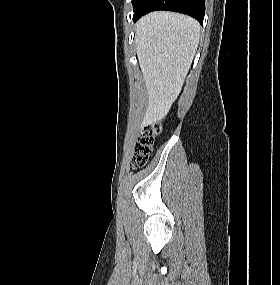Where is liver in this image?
I'll return each mask as SVG.
<instances>
[{"label": "liver", "mask_w": 280, "mask_h": 285, "mask_svg": "<svg viewBox=\"0 0 280 285\" xmlns=\"http://www.w3.org/2000/svg\"><path fill=\"white\" fill-rule=\"evenodd\" d=\"M135 45L147 93L142 121H159L179 95L196 53L199 23L186 15L152 12L136 24Z\"/></svg>", "instance_id": "liver-1"}]
</instances>
